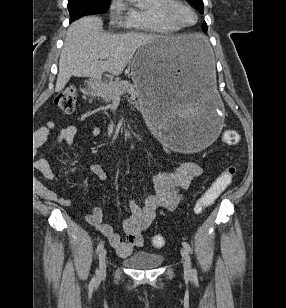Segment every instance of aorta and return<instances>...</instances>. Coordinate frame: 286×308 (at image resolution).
<instances>
[{"instance_id": "762f6f07", "label": "aorta", "mask_w": 286, "mask_h": 308, "mask_svg": "<svg viewBox=\"0 0 286 308\" xmlns=\"http://www.w3.org/2000/svg\"><path fill=\"white\" fill-rule=\"evenodd\" d=\"M128 1L135 2V1H137V0H128Z\"/></svg>"}]
</instances>
